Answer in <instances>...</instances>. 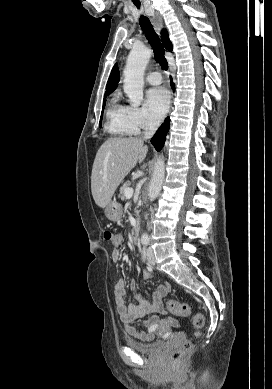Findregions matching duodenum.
Wrapping results in <instances>:
<instances>
[{"mask_svg": "<svg viewBox=\"0 0 272 389\" xmlns=\"http://www.w3.org/2000/svg\"><path fill=\"white\" fill-rule=\"evenodd\" d=\"M139 235H140V224L135 223L131 229V239L133 242L137 243L139 242Z\"/></svg>", "mask_w": 272, "mask_h": 389, "instance_id": "obj_1", "label": "duodenum"}]
</instances>
